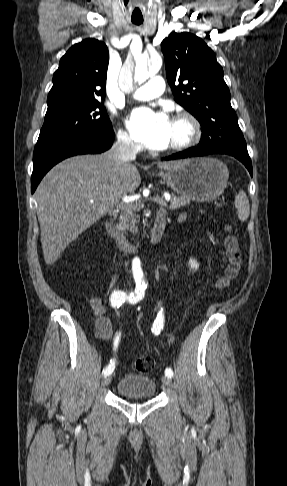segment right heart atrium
Returning a JSON list of instances; mask_svg holds the SVG:
<instances>
[{"label":"right heart atrium","mask_w":287,"mask_h":486,"mask_svg":"<svg viewBox=\"0 0 287 486\" xmlns=\"http://www.w3.org/2000/svg\"><path fill=\"white\" fill-rule=\"evenodd\" d=\"M117 141L121 147L128 150H135L138 147L131 136L123 129L117 131Z\"/></svg>","instance_id":"1"}]
</instances>
